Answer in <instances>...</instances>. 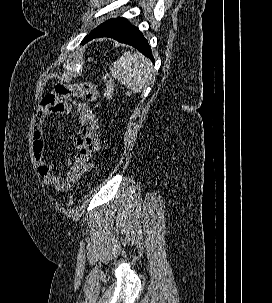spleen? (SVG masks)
<instances>
[{
    "label": "spleen",
    "instance_id": "obj_1",
    "mask_svg": "<svg viewBox=\"0 0 272 303\" xmlns=\"http://www.w3.org/2000/svg\"><path fill=\"white\" fill-rule=\"evenodd\" d=\"M111 73L130 90L126 92L130 96L132 93H139L152 81L153 68L152 63L143 55L126 51L114 62Z\"/></svg>",
    "mask_w": 272,
    "mask_h": 303
}]
</instances>
